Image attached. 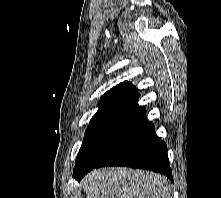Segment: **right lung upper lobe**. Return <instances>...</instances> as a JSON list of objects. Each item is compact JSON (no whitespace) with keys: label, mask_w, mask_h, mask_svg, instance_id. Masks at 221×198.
<instances>
[{"label":"right lung upper lobe","mask_w":221,"mask_h":198,"mask_svg":"<svg viewBox=\"0 0 221 198\" xmlns=\"http://www.w3.org/2000/svg\"><path fill=\"white\" fill-rule=\"evenodd\" d=\"M139 94L130 82H122L106 92L91 124L105 121L147 122L146 109L138 105Z\"/></svg>","instance_id":"obj_1"}]
</instances>
